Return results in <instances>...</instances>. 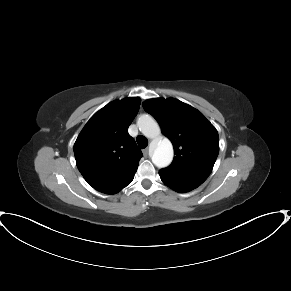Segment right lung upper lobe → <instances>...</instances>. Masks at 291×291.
<instances>
[{
  "mask_svg": "<svg viewBox=\"0 0 291 291\" xmlns=\"http://www.w3.org/2000/svg\"><path fill=\"white\" fill-rule=\"evenodd\" d=\"M140 103L139 97L110 102L92 116L74 144L77 167L97 191L115 194L134 178L143 155L128 127Z\"/></svg>",
  "mask_w": 291,
  "mask_h": 291,
  "instance_id": "1",
  "label": "right lung upper lobe"
}]
</instances>
